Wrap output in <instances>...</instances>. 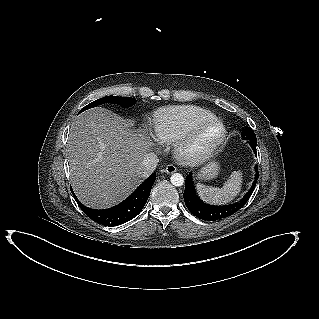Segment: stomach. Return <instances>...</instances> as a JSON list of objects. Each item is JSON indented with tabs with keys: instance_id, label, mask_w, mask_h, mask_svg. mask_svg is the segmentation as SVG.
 I'll list each match as a JSON object with an SVG mask.
<instances>
[{
	"instance_id": "stomach-1",
	"label": "stomach",
	"mask_w": 319,
	"mask_h": 319,
	"mask_svg": "<svg viewBox=\"0 0 319 319\" xmlns=\"http://www.w3.org/2000/svg\"><path fill=\"white\" fill-rule=\"evenodd\" d=\"M219 173V166L216 162L205 165L198 173V178L203 180L214 179Z\"/></svg>"
}]
</instances>
